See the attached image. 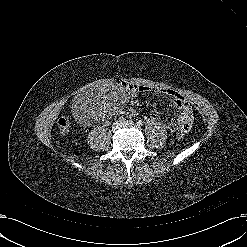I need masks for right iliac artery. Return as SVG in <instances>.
Instances as JSON below:
<instances>
[{
    "instance_id": "82829eb1",
    "label": "right iliac artery",
    "mask_w": 247,
    "mask_h": 247,
    "mask_svg": "<svg viewBox=\"0 0 247 247\" xmlns=\"http://www.w3.org/2000/svg\"><path fill=\"white\" fill-rule=\"evenodd\" d=\"M119 120L122 122V121H125V118L124 117H120Z\"/></svg>"
}]
</instances>
